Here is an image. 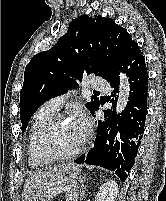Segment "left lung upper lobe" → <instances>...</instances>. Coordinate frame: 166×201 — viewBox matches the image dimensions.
I'll return each instance as SVG.
<instances>
[{"label":"left lung upper lobe","mask_w":166,"mask_h":201,"mask_svg":"<svg viewBox=\"0 0 166 201\" xmlns=\"http://www.w3.org/2000/svg\"><path fill=\"white\" fill-rule=\"evenodd\" d=\"M135 43L110 18L83 15L74 19L56 45L35 55L25 68L19 105L22 131L38 107L77 87L85 74L110 78ZM99 105V98L92 96L86 107L94 114Z\"/></svg>","instance_id":"left-lung-upper-lobe-1"}]
</instances>
